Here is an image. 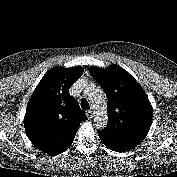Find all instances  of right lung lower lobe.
Segmentation results:
<instances>
[{"label": "right lung lower lobe", "mask_w": 177, "mask_h": 177, "mask_svg": "<svg viewBox=\"0 0 177 177\" xmlns=\"http://www.w3.org/2000/svg\"><path fill=\"white\" fill-rule=\"evenodd\" d=\"M36 147L39 148L40 150H42L43 152H48L49 151V154H51V155H57V154H60L61 152H64L65 150H67V148H65V150H62L61 152L52 153V152H50L52 149L49 148V146H46L45 143H43L39 146H36Z\"/></svg>", "instance_id": "obj_1"}]
</instances>
